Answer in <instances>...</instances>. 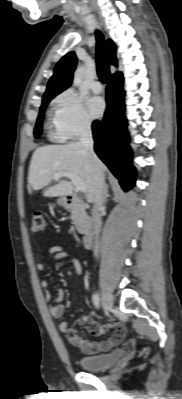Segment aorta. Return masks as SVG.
Instances as JSON below:
<instances>
[{"instance_id": "aorta-1", "label": "aorta", "mask_w": 182, "mask_h": 399, "mask_svg": "<svg viewBox=\"0 0 182 399\" xmlns=\"http://www.w3.org/2000/svg\"><path fill=\"white\" fill-rule=\"evenodd\" d=\"M84 66H79L77 67L76 71L74 72V77H73V86L78 87L83 79V74H84Z\"/></svg>"}]
</instances>
